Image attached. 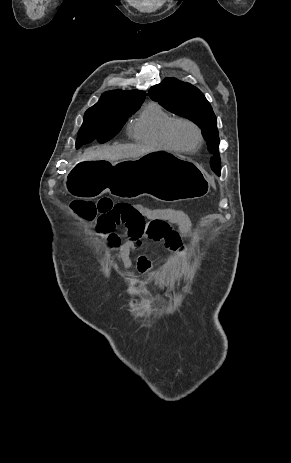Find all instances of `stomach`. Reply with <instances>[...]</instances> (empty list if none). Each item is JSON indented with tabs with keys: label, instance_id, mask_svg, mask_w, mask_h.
Segmentation results:
<instances>
[{
	"label": "stomach",
	"instance_id": "0dacf381",
	"mask_svg": "<svg viewBox=\"0 0 291 463\" xmlns=\"http://www.w3.org/2000/svg\"><path fill=\"white\" fill-rule=\"evenodd\" d=\"M66 189L86 199L108 192L124 199L148 195L162 202H177L205 196L210 183L196 162L175 153L153 151L119 162L113 157L83 159L69 173Z\"/></svg>",
	"mask_w": 291,
	"mask_h": 463
}]
</instances>
